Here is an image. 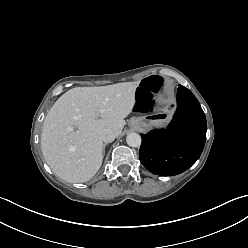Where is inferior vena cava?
Segmentation results:
<instances>
[{"instance_id": "inferior-vena-cava-1", "label": "inferior vena cava", "mask_w": 248, "mask_h": 248, "mask_svg": "<svg viewBox=\"0 0 248 248\" xmlns=\"http://www.w3.org/2000/svg\"><path fill=\"white\" fill-rule=\"evenodd\" d=\"M117 137L116 133L111 130V129H103L100 133H99V138L102 142L105 143H110L113 142L115 140V138Z\"/></svg>"}]
</instances>
